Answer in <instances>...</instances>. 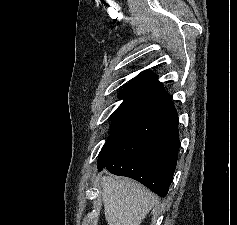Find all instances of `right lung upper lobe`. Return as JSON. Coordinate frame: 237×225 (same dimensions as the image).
Here are the masks:
<instances>
[{
  "label": "right lung upper lobe",
  "instance_id": "obj_1",
  "mask_svg": "<svg viewBox=\"0 0 237 225\" xmlns=\"http://www.w3.org/2000/svg\"><path fill=\"white\" fill-rule=\"evenodd\" d=\"M119 97L124 101L117 109L113 121L123 124L172 99L157 80V75L150 71L130 81Z\"/></svg>",
  "mask_w": 237,
  "mask_h": 225
}]
</instances>
